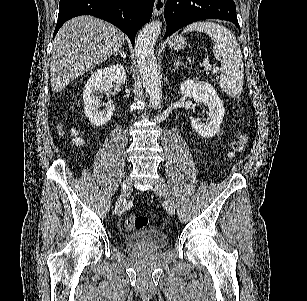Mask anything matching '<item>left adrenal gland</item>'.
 <instances>
[{
    "instance_id": "left-adrenal-gland-1",
    "label": "left adrenal gland",
    "mask_w": 307,
    "mask_h": 301,
    "mask_svg": "<svg viewBox=\"0 0 307 301\" xmlns=\"http://www.w3.org/2000/svg\"><path fill=\"white\" fill-rule=\"evenodd\" d=\"M180 64H182V66H186V64H184V62H182V60H179V58H176V60L174 62L175 68H179Z\"/></svg>"
}]
</instances>
